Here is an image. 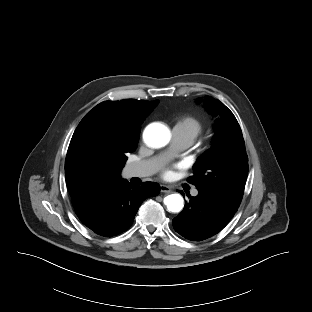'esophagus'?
Wrapping results in <instances>:
<instances>
[{
    "instance_id": "obj_1",
    "label": "esophagus",
    "mask_w": 312,
    "mask_h": 312,
    "mask_svg": "<svg viewBox=\"0 0 312 312\" xmlns=\"http://www.w3.org/2000/svg\"><path fill=\"white\" fill-rule=\"evenodd\" d=\"M160 191L163 193H170L171 192V188L167 185H160Z\"/></svg>"
}]
</instances>
